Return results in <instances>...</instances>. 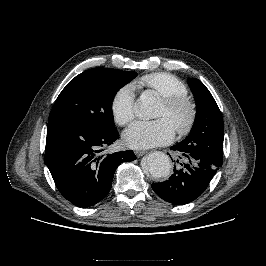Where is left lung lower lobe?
Returning a JSON list of instances; mask_svg holds the SVG:
<instances>
[{
  "instance_id": "1",
  "label": "left lung lower lobe",
  "mask_w": 266,
  "mask_h": 266,
  "mask_svg": "<svg viewBox=\"0 0 266 266\" xmlns=\"http://www.w3.org/2000/svg\"><path fill=\"white\" fill-rule=\"evenodd\" d=\"M171 149L181 152L184 162L180 163L179 169L174 167V173L168 180L153 183L152 189L163 200L184 205L195 200L206 190L221 165L201 156L183 152L177 145Z\"/></svg>"
}]
</instances>
